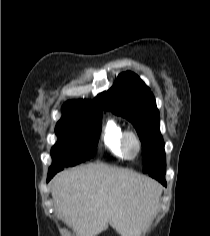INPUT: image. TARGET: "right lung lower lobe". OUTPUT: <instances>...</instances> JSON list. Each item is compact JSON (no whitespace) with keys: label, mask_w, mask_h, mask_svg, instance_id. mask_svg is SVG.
Masks as SVG:
<instances>
[{"label":"right lung lower lobe","mask_w":210,"mask_h":236,"mask_svg":"<svg viewBox=\"0 0 210 236\" xmlns=\"http://www.w3.org/2000/svg\"><path fill=\"white\" fill-rule=\"evenodd\" d=\"M64 166H51L48 171L47 182L60 170H62Z\"/></svg>","instance_id":"1"}]
</instances>
